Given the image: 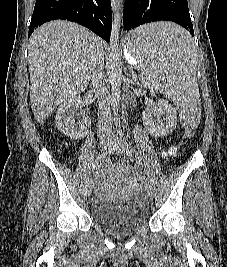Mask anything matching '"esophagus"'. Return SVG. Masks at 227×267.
I'll list each match as a JSON object with an SVG mask.
<instances>
[{
    "mask_svg": "<svg viewBox=\"0 0 227 267\" xmlns=\"http://www.w3.org/2000/svg\"><path fill=\"white\" fill-rule=\"evenodd\" d=\"M119 0H111L112 10L115 12L119 6Z\"/></svg>",
    "mask_w": 227,
    "mask_h": 267,
    "instance_id": "34e87169",
    "label": "esophagus"
}]
</instances>
